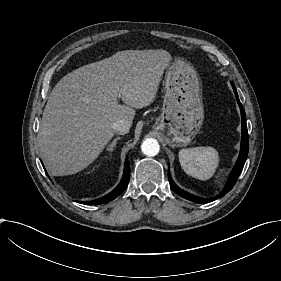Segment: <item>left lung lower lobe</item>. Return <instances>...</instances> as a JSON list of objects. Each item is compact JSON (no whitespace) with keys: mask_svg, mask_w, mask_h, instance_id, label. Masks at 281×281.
Segmentation results:
<instances>
[{"mask_svg":"<svg viewBox=\"0 0 281 281\" xmlns=\"http://www.w3.org/2000/svg\"><path fill=\"white\" fill-rule=\"evenodd\" d=\"M238 105L240 106V110H241V117H242V140H241V149H240V154L239 157L236 161L235 166L233 167L231 174L228 178L227 184L224 187V189L220 192V194H218L217 196L213 197V198H200L197 196H194L192 194H189L187 192H185L184 190H181L172 180L170 172L168 171V178H169V182H170V186L171 188L181 197L193 201L195 203H208L210 201H213L217 198H221L223 197L227 192H229L233 186L235 185L243 167L245 164V161L247 159V155H248V150H249V140H248V131H247V125H246V116H245V111L244 108L242 107V104L240 103L237 91L235 86L232 84Z\"/></svg>","mask_w":281,"mask_h":281,"instance_id":"obj_1","label":"left lung lower lobe"}]
</instances>
